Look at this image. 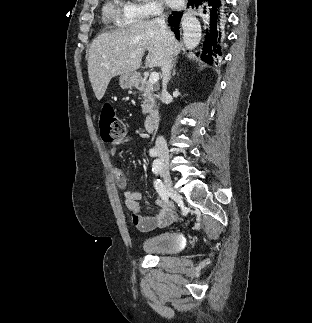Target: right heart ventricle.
<instances>
[{"instance_id": "e07e8e85", "label": "right heart ventricle", "mask_w": 312, "mask_h": 323, "mask_svg": "<svg viewBox=\"0 0 312 323\" xmlns=\"http://www.w3.org/2000/svg\"><path fill=\"white\" fill-rule=\"evenodd\" d=\"M100 20H113V13L108 5H105L103 9H100Z\"/></svg>"}]
</instances>
